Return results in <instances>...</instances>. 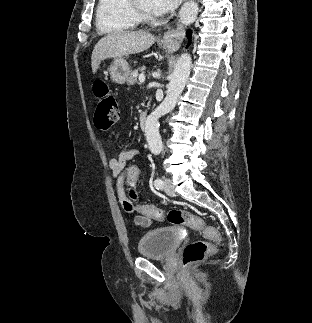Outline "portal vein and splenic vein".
Listing matches in <instances>:
<instances>
[{
	"label": "portal vein and splenic vein",
	"instance_id": "1",
	"mask_svg": "<svg viewBox=\"0 0 312 323\" xmlns=\"http://www.w3.org/2000/svg\"><path fill=\"white\" fill-rule=\"evenodd\" d=\"M138 80H139V82H145V76H142V74H141V76H139Z\"/></svg>",
	"mask_w": 312,
	"mask_h": 323
}]
</instances>
